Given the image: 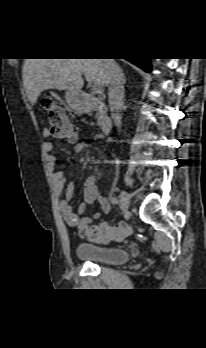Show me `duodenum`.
Returning a JSON list of instances; mask_svg holds the SVG:
<instances>
[{"label": "duodenum", "instance_id": "1", "mask_svg": "<svg viewBox=\"0 0 206 348\" xmlns=\"http://www.w3.org/2000/svg\"><path fill=\"white\" fill-rule=\"evenodd\" d=\"M78 100L82 102L85 111H98L100 126L103 133L107 134L112 131L113 123L107 114V105L102 100L90 95L80 97Z\"/></svg>", "mask_w": 206, "mask_h": 348}]
</instances>
